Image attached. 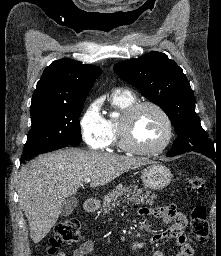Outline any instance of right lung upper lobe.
<instances>
[{
    "mask_svg": "<svg viewBox=\"0 0 221 256\" xmlns=\"http://www.w3.org/2000/svg\"><path fill=\"white\" fill-rule=\"evenodd\" d=\"M100 67L62 58L48 66L34 91L30 111L85 101Z\"/></svg>",
    "mask_w": 221,
    "mask_h": 256,
    "instance_id": "right-lung-upper-lobe-1",
    "label": "right lung upper lobe"
}]
</instances>
